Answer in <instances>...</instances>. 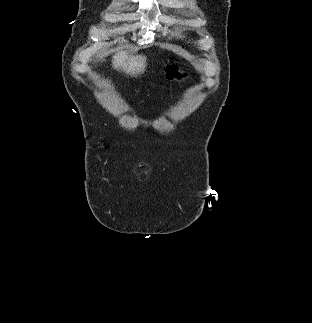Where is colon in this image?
<instances>
[{
    "mask_svg": "<svg viewBox=\"0 0 312 323\" xmlns=\"http://www.w3.org/2000/svg\"><path fill=\"white\" fill-rule=\"evenodd\" d=\"M177 71H178V68L176 65L171 66L167 71L168 78L172 79L175 76Z\"/></svg>",
    "mask_w": 312,
    "mask_h": 323,
    "instance_id": "5ec220e1",
    "label": "colon"
}]
</instances>
